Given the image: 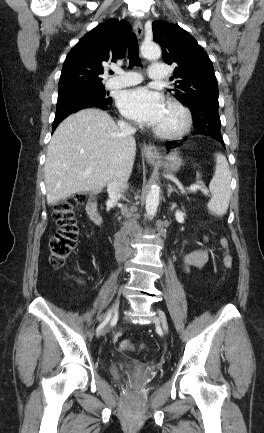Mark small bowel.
<instances>
[{
  "label": "small bowel",
  "mask_w": 264,
  "mask_h": 433,
  "mask_svg": "<svg viewBox=\"0 0 264 433\" xmlns=\"http://www.w3.org/2000/svg\"><path fill=\"white\" fill-rule=\"evenodd\" d=\"M208 259L206 250L199 249L187 254L184 258L185 270H188L191 266L201 267Z\"/></svg>",
  "instance_id": "small-bowel-1"
}]
</instances>
